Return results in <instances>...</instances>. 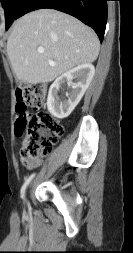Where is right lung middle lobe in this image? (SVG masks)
Masks as SVG:
<instances>
[{"mask_svg":"<svg viewBox=\"0 0 133 253\" xmlns=\"http://www.w3.org/2000/svg\"><path fill=\"white\" fill-rule=\"evenodd\" d=\"M5 10V25L6 30L10 27L12 22L20 10L21 4L24 0H0Z\"/></svg>","mask_w":133,"mask_h":253,"instance_id":"1","label":"right lung middle lobe"}]
</instances>
